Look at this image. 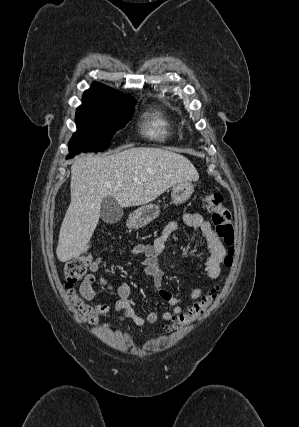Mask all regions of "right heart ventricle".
Wrapping results in <instances>:
<instances>
[{
  "instance_id": "1",
  "label": "right heart ventricle",
  "mask_w": 299,
  "mask_h": 427,
  "mask_svg": "<svg viewBox=\"0 0 299 427\" xmlns=\"http://www.w3.org/2000/svg\"><path fill=\"white\" fill-rule=\"evenodd\" d=\"M175 134L174 122L160 107L147 110L143 115L142 135L157 143H168Z\"/></svg>"
}]
</instances>
